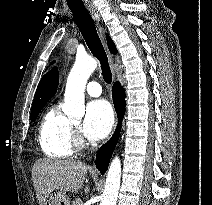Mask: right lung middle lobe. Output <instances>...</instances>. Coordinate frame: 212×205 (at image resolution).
<instances>
[{
  "mask_svg": "<svg viewBox=\"0 0 212 205\" xmlns=\"http://www.w3.org/2000/svg\"><path fill=\"white\" fill-rule=\"evenodd\" d=\"M43 106L44 105H38V106L32 107L31 114H30L31 121H34L36 119V117L38 116V113L41 111Z\"/></svg>",
  "mask_w": 212,
  "mask_h": 205,
  "instance_id": "dd1d6c3e",
  "label": "right lung middle lobe"
}]
</instances>
